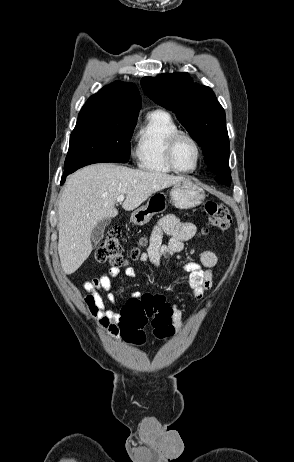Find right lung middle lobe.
I'll use <instances>...</instances> for the list:
<instances>
[{
    "label": "right lung middle lobe",
    "instance_id": "dd1d6c3e",
    "mask_svg": "<svg viewBox=\"0 0 294 462\" xmlns=\"http://www.w3.org/2000/svg\"><path fill=\"white\" fill-rule=\"evenodd\" d=\"M138 115L80 112L71 133L64 174L93 163L129 160L130 135Z\"/></svg>",
    "mask_w": 294,
    "mask_h": 462
}]
</instances>
